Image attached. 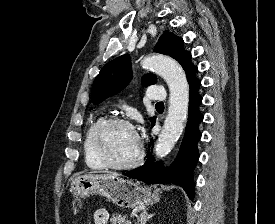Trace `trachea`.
I'll list each match as a JSON object with an SVG mask.
<instances>
[{"label": "trachea", "mask_w": 275, "mask_h": 224, "mask_svg": "<svg viewBox=\"0 0 275 224\" xmlns=\"http://www.w3.org/2000/svg\"><path fill=\"white\" fill-rule=\"evenodd\" d=\"M156 105L157 106H164V103L163 102H158Z\"/></svg>", "instance_id": "1"}]
</instances>
